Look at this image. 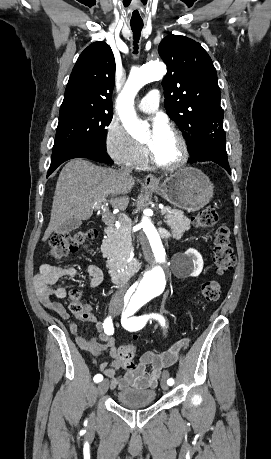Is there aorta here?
Segmentation results:
<instances>
[{"mask_svg": "<svg viewBox=\"0 0 271 459\" xmlns=\"http://www.w3.org/2000/svg\"><path fill=\"white\" fill-rule=\"evenodd\" d=\"M165 73V65L158 61H151L132 70L118 97L117 109L120 119L125 129L137 139L146 137L147 126L136 116L134 98L144 85L162 79ZM134 207L135 213L141 217L138 225L139 241L147 264L135 288L150 297H156L166 287L169 272L167 250L152 221L153 210L149 207L148 198L143 194L138 195Z\"/></svg>", "mask_w": 271, "mask_h": 459, "instance_id": "762f6f07", "label": "aorta"}]
</instances>
